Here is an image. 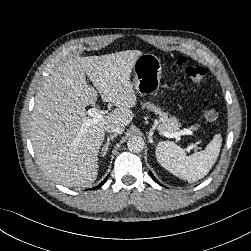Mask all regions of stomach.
I'll list each match as a JSON object with an SVG mask.
<instances>
[{"label": "stomach", "mask_w": 251, "mask_h": 251, "mask_svg": "<svg viewBox=\"0 0 251 251\" xmlns=\"http://www.w3.org/2000/svg\"><path fill=\"white\" fill-rule=\"evenodd\" d=\"M135 77L132 85L141 95L153 94L159 90L162 65L161 60L151 53L140 55L134 64Z\"/></svg>", "instance_id": "obj_1"}]
</instances>
